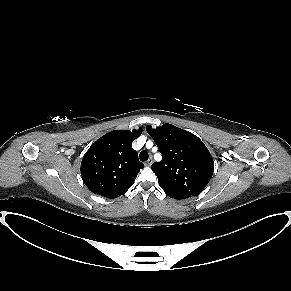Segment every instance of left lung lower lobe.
<instances>
[{"label": "left lung lower lobe", "mask_w": 291, "mask_h": 291, "mask_svg": "<svg viewBox=\"0 0 291 291\" xmlns=\"http://www.w3.org/2000/svg\"><path fill=\"white\" fill-rule=\"evenodd\" d=\"M169 197H171V198H175V199H180V198H178V197H176V196H174L173 194H171V193H166Z\"/></svg>", "instance_id": "obj_1"}]
</instances>
